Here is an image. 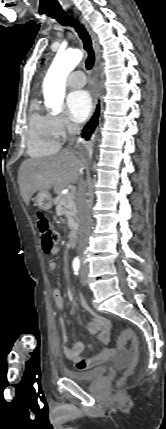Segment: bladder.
<instances>
[{
    "mask_svg": "<svg viewBox=\"0 0 166 429\" xmlns=\"http://www.w3.org/2000/svg\"><path fill=\"white\" fill-rule=\"evenodd\" d=\"M107 371H108L107 366H99L86 372L67 370L65 374L69 378L75 380L76 382L86 383V382H91L93 380L102 378L107 373Z\"/></svg>",
    "mask_w": 166,
    "mask_h": 429,
    "instance_id": "31cf9c89",
    "label": "bladder"
}]
</instances>
